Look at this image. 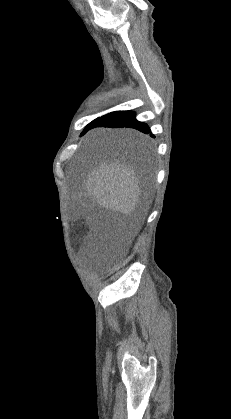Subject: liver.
<instances>
[{"label": "liver", "instance_id": "liver-1", "mask_svg": "<svg viewBox=\"0 0 231 419\" xmlns=\"http://www.w3.org/2000/svg\"><path fill=\"white\" fill-rule=\"evenodd\" d=\"M111 134L125 140L143 141L142 146L148 140L128 129L116 130ZM85 188L100 206L123 214L135 211L141 193L140 180L134 168L120 160L101 163L88 176Z\"/></svg>", "mask_w": 231, "mask_h": 419}]
</instances>
